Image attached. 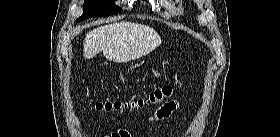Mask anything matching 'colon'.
<instances>
[{
  "label": "colon",
  "instance_id": "colon-1",
  "mask_svg": "<svg viewBox=\"0 0 280 137\" xmlns=\"http://www.w3.org/2000/svg\"><path fill=\"white\" fill-rule=\"evenodd\" d=\"M174 93V87L170 84L159 87L148 96L141 97L135 100H108L99 101L95 105V109L101 112H118L131 109H144L148 106L161 104L169 99ZM119 132L113 134L118 136Z\"/></svg>",
  "mask_w": 280,
  "mask_h": 137
}]
</instances>
